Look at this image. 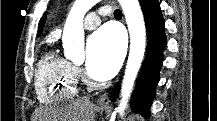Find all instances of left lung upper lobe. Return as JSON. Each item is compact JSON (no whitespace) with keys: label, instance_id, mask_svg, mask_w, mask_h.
<instances>
[{"label":"left lung upper lobe","instance_id":"5c2ea615","mask_svg":"<svg viewBox=\"0 0 217 121\" xmlns=\"http://www.w3.org/2000/svg\"><path fill=\"white\" fill-rule=\"evenodd\" d=\"M45 19H46V15H44L41 20H40V23H39V33H41L42 31V28L44 26V23H45Z\"/></svg>","mask_w":217,"mask_h":121}]
</instances>
